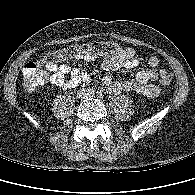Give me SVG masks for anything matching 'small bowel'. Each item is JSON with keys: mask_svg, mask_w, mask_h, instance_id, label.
Instances as JSON below:
<instances>
[{"mask_svg": "<svg viewBox=\"0 0 195 195\" xmlns=\"http://www.w3.org/2000/svg\"><path fill=\"white\" fill-rule=\"evenodd\" d=\"M76 59L91 63L97 59V56L96 54H81ZM139 63L136 51L132 48H126L106 55L101 65L106 71H116L123 68H136ZM147 64L149 68L140 71L134 78L119 82L112 75H107L103 78V84L113 94L133 92L146 97H155L159 94V88L151 82L157 81L166 71L156 70L159 64V59L156 56H150L147 59ZM48 69L51 72L50 82L60 89H72L91 80L88 73L67 64H57L48 67Z\"/></svg>", "mask_w": 195, "mask_h": 195, "instance_id": "obj_1", "label": "small bowel"}]
</instances>
